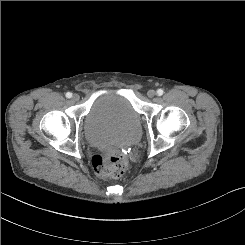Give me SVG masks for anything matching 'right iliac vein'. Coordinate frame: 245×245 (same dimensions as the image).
Instances as JSON below:
<instances>
[{
	"instance_id": "right-iliac-vein-1",
	"label": "right iliac vein",
	"mask_w": 245,
	"mask_h": 245,
	"mask_svg": "<svg viewBox=\"0 0 245 245\" xmlns=\"http://www.w3.org/2000/svg\"><path fill=\"white\" fill-rule=\"evenodd\" d=\"M72 100L73 101H78L79 100V95L78 94H73Z\"/></svg>"
}]
</instances>
